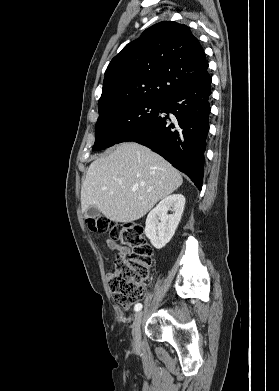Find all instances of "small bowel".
I'll list each match as a JSON object with an SVG mask.
<instances>
[{
	"label": "small bowel",
	"instance_id": "1",
	"mask_svg": "<svg viewBox=\"0 0 279 391\" xmlns=\"http://www.w3.org/2000/svg\"><path fill=\"white\" fill-rule=\"evenodd\" d=\"M107 245L110 249L114 250L119 256H125L129 252L128 248L119 245L117 242L111 239L107 240Z\"/></svg>",
	"mask_w": 279,
	"mask_h": 391
}]
</instances>
